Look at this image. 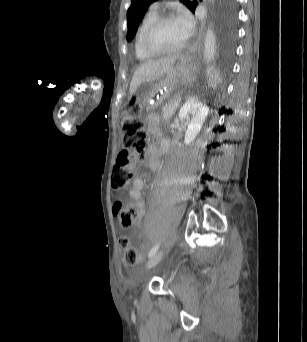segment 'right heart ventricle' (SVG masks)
<instances>
[{
  "label": "right heart ventricle",
  "mask_w": 307,
  "mask_h": 342,
  "mask_svg": "<svg viewBox=\"0 0 307 342\" xmlns=\"http://www.w3.org/2000/svg\"><path fill=\"white\" fill-rule=\"evenodd\" d=\"M156 16H157V11H154L151 8L146 9L144 13L141 15L138 21L137 27H136L135 36H134V52H135L136 58L142 62H147L154 58V57L147 55L142 50L141 37L148 23L152 19H154Z\"/></svg>",
  "instance_id": "e07e8e85"
}]
</instances>
